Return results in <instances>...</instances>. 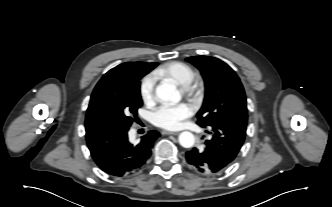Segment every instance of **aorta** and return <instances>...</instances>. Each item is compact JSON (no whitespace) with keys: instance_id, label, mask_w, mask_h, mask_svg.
Masks as SVG:
<instances>
[{"instance_id":"obj_1","label":"aorta","mask_w":332,"mask_h":207,"mask_svg":"<svg viewBox=\"0 0 332 207\" xmlns=\"http://www.w3.org/2000/svg\"><path fill=\"white\" fill-rule=\"evenodd\" d=\"M157 97L164 102L177 103L181 100V94L176 86L170 83L162 82L156 88ZM179 143L184 148H190L195 143V137L191 132L184 131L179 135Z\"/></svg>"}]
</instances>
